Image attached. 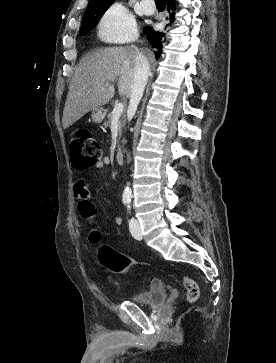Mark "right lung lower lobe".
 Masks as SVG:
<instances>
[{
  "label": "right lung lower lobe",
  "mask_w": 276,
  "mask_h": 363,
  "mask_svg": "<svg viewBox=\"0 0 276 363\" xmlns=\"http://www.w3.org/2000/svg\"><path fill=\"white\" fill-rule=\"evenodd\" d=\"M175 1L174 0H167V11L169 13L170 23L174 21L175 18ZM144 33L147 35L148 41L151 43L153 48L157 49V53H161L164 42L166 40V33L162 31H155L150 27L144 28Z\"/></svg>",
  "instance_id": "right-lung-lower-lobe-1"
}]
</instances>
